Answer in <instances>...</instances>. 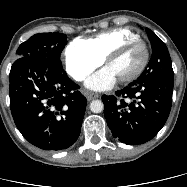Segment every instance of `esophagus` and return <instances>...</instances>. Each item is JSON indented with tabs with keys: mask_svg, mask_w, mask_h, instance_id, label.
Here are the masks:
<instances>
[{
	"mask_svg": "<svg viewBox=\"0 0 187 187\" xmlns=\"http://www.w3.org/2000/svg\"><path fill=\"white\" fill-rule=\"evenodd\" d=\"M83 94L87 98L88 101H91V100L99 97V94L93 93V92H90V91H86V90L83 91Z\"/></svg>",
	"mask_w": 187,
	"mask_h": 187,
	"instance_id": "1",
	"label": "esophagus"
}]
</instances>
